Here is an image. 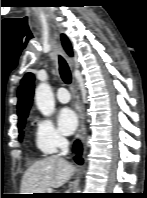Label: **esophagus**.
Masks as SVG:
<instances>
[{
    "instance_id": "obj_1",
    "label": "esophagus",
    "mask_w": 147,
    "mask_h": 198,
    "mask_svg": "<svg viewBox=\"0 0 147 198\" xmlns=\"http://www.w3.org/2000/svg\"><path fill=\"white\" fill-rule=\"evenodd\" d=\"M75 83V86H76V82H74ZM81 133L83 134V128H82V130H81Z\"/></svg>"
}]
</instances>
